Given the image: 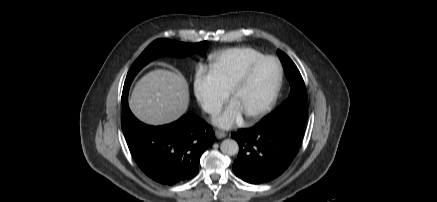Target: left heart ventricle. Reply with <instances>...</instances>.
I'll return each instance as SVG.
<instances>
[{
	"label": "left heart ventricle",
	"instance_id": "1",
	"mask_svg": "<svg viewBox=\"0 0 437 202\" xmlns=\"http://www.w3.org/2000/svg\"><path fill=\"white\" fill-rule=\"evenodd\" d=\"M278 75V66L274 61L261 63L254 71L248 83L232 98L241 107L244 116L259 110L268 100Z\"/></svg>",
	"mask_w": 437,
	"mask_h": 202
}]
</instances>
